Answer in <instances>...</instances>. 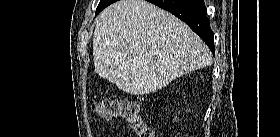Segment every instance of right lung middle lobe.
Segmentation results:
<instances>
[{"instance_id": "obj_1", "label": "right lung middle lobe", "mask_w": 280, "mask_h": 137, "mask_svg": "<svg viewBox=\"0 0 280 137\" xmlns=\"http://www.w3.org/2000/svg\"><path fill=\"white\" fill-rule=\"evenodd\" d=\"M117 0H100V3L96 9V14H99L104 8H106L107 6H109L110 4L116 2Z\"/></svg>"}]
</instances>
